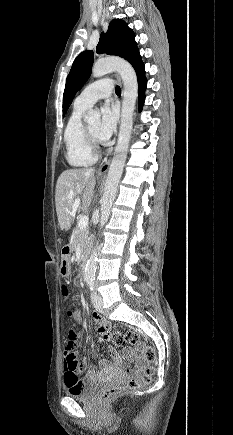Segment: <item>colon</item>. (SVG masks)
Returning a JSON list of instances; mask_svg holds the SVG:
<instances>
[{
    "label": "colon",
    "instance_id": "colon-1",
    "mask_svg": "<svg viewBox=\"0 0 233 435\" xmlns=\"http://www.w3.org/2000/svg\"><path fill=\"white\" fill-rule=\"evenodd\" d=\"M70 317L74 316V312L70 311ZM111 340L116 345H122L124 343L137 344L143 359L150 364H153L156 360V349L151 345H147L139 340L138 335L133 331H128L125 334L119 331H114L111 335ZM74 343L72 341L64 345V354L73 353ZM155 368L150 365L146 371L137 377L127 380L125 383H117L113 385L106 386L102 389L99 394V401L106 405L113 401L115 398L124 394L126 392L134 391L140 389L142 386L150 383L151 378L154 374ZM71 392H77V390L83 386L81 380L75 375H69L67 377Z\"/></svg>",
    "mask_w": 233,
    "mask_h": 435
}]
</instances>
